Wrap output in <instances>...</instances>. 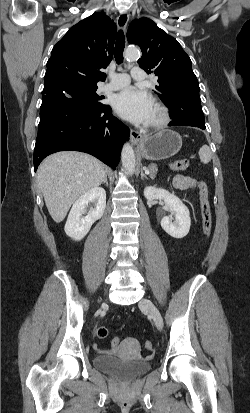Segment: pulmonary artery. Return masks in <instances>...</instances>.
<instances>
[{
    "label": "pulmonary artery",
    "mask_w": 250,
    "mask_h": 413,
    "mask_svg": "<svg viewBox=\"0 0 250 413\" xmlns=\"http://www.w3.org/2000/svg\"><path fill=\"white\" fill-rule=\"evenodd\" d=\"M111 80L104 86V89L107 91H114L124 88L129 85L131 77L135 80H143L144 72L139 67H134L131 70V77L126 73H113L110 75Z\"/></svg>",
    "instance_id": "1"
}]
</instances>
